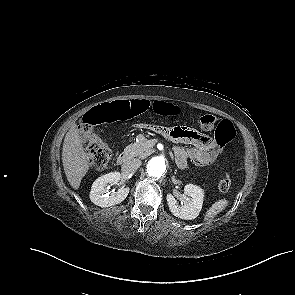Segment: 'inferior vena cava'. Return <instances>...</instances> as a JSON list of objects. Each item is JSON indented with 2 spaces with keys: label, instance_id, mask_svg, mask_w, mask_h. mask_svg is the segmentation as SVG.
<instances>
[{
  "label": "inferior vena cava",
  "instance_id": "obj_1",
  "mask_svg": "<svg viewBox=\"0 0 295 295\" xmlns=\"http://www.w3.org/2000/svg\"><path fill=\"white\" fill-rule=\"evenodd\" d=\"M141 166V160L139 159H129L122 165V171L125 173L135 172Z\"/></svg>",
  "mask_w": 295,
  "mask_h": 295
}]
</instances>
